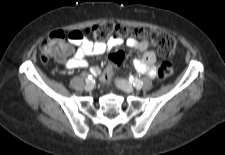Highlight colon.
Instances as JSON below:
<instances>
[{
  "label": "colon",
  "mask_w": 225,
  "mask_h": 155,
  "mask_svg": "<svg viewBox=\"0 0 225 155\" xmlns=\"http://www.w3.org/2000/svg\"><path fill=\"white\" fill-rule=\"evenodd\" d=\"M65 33L62 30L52 32L47 39L42 43L40 49L41 61L47 63L51 58H63L70 51L69 42L71 41V34ZM86 37L93 38L96 41H104L110 38L124 39L129 36L145 37L149 36L152 45L162 55H172L177 50V42L173 36L168 33L160 31H152L148 33L142 28L128 30L126 27L114 24L111 22H101L85 29ZM123 56L116 53L110 56L109 62L100 75L102 86L109 89L112 86L111 79L113 73L117 72ZM174 74L173 65L171 63H164L160 66L158 76L160 79H168Z\"/></svg>",
  "instance_id": "1"
}]
</instances>
